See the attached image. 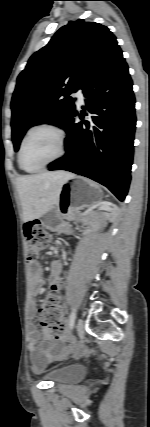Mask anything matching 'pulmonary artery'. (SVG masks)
I'll return each instance as SVG.
<instances>
[{
  "label": "pulmonary artery",
  "mask_w": 150,
  "mask_h": 427,
  "mask_svg": "<svg viewBox=\"0 0 150 427\" xmlns=\"http://www.w3.org/2000/svg\"><path fill=\"white\" fill-rule=\"evenodd\" d=\"M75 96L77 98L78 104L81 105L84 102V94H83V90L81 88H79L76 93Z\"/></svg>",
  "instance_id": "obj_1"
}]
</instances>
